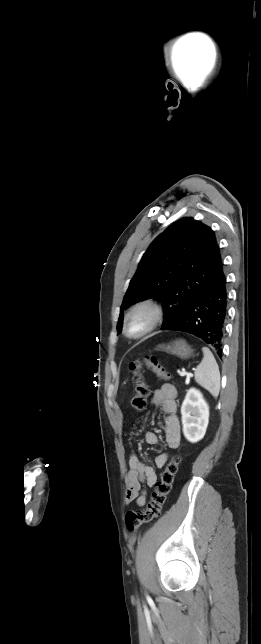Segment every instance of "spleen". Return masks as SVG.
Returning a JSON list of instances; mask_svg holds the SVG:
<instances>
[{
	"label": "spleen",
	"instance_id": "3e777b00",
	"mask_svg": "<svg viewBox=\"0 0 261 644\" xmlns=\"http://www.w3.org/2000/svg\"><path fill=\"white\" fill-rule=\"evenodd\" d=\"M203 359L195 370V381L208 390L213 397H217L220 391V372L218 364L212 352L202 348Z\"/></svg>",
	"mask_w": 261,
	"mask_h": 644
}]
</instances>
